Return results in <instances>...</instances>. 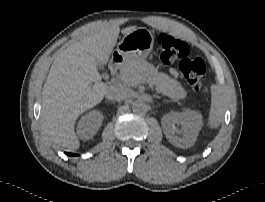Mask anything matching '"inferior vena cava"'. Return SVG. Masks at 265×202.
I'll list each match as a JSON object with an SVG mask.
<instances>
[{"label":"inferior vena cava","mask_w":265,"mask_h":202,"mask_svg":"<svg viewBox=\"0 0 265 202\" xmlns=\"http://www.w3.org/2000/svg\"><path fill=\"white\" fill-rule=\"evenodd\" d=\"M129 89L122 85H112L106 91V98L109 101L121 102L129 97Z\"/></svg>","instance_id":"602c4592"}]
</instances>
